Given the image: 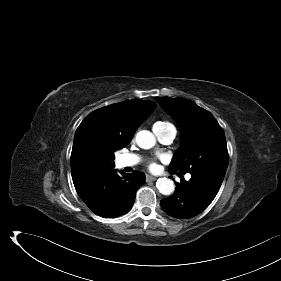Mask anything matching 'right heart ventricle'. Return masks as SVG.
I'll return each mask as SVG.
<instances>
[{
  "label": "right heart ventricle",
  "instance_id": "e07e8e85",
  "mask_svg": "<svg viewBox=\"0 0 281 281\" xmlns=\"http://www.w3.org/2000/svg\"><path fill=\"white\" fill-rule=\"evenodd\" d=\"M171 126H173V125L167 121H158L154 124L153 128L165 129V128H168Z\"/></svg>",
  "mask_w": 281,
  "mask_h": 281
}]
</instances>
